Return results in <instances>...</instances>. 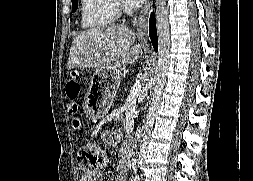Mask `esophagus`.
I'll return each mask as SVG.
<instances>
[{
	"label": "esophagus",
	"instance_id": "esophagus-1",
	"mask_svg": "<svg viewBox=\"0 0 253 181\" xmlns=\"http://www.w3.org/2000/svg\"><path fill=\"white\" fill-rule=\"evenodd\" d=\"M153 9V0H146V3L136 18V34L139 39L147 40L149 16Z\"/></svg>",
	"mask_w": 253,
	"mask_h": 181
}]
</instances>
